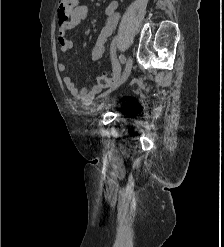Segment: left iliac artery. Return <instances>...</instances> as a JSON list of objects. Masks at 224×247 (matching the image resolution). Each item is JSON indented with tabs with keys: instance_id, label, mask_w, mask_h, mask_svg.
<instances>
[{
	"instance_id": "44dca946",
	"label": "left iliac artery",
	"mask_w": 224,
	"mask_h": 247,
	"mask_svg": "<svg viewBox=\"0 0 224 247\" xmlns=\"http://www.w3.org/2000/svg\"><path fill=\"white\" fill-rule=\"evenodd\" d=\"M119 59H120V62H121L122 64H124L125 61H126V58H125V56H124L123 54H121V55L119 56Z\"/></svg>"
}]
</instances>
